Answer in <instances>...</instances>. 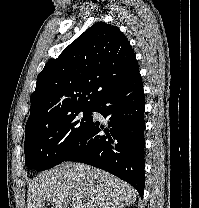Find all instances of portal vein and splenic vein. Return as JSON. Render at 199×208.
<instances>
[{
    "mask_svg": "<svg viewBox=\"0 0 199 208\" xmlns=\"http://www.w3.org/2000/svg\"><path fill=\"white\" fill-rule=\"evenodd\" d=\"M72 205L74 206V208H81V205H80V204H78V203H74V202H72Z\"/></svg>",
    "mask_w": 199,
    "mask_h": 208,
    "instance_id": "obj_1",
    "label": "portal vein and splenic vein"
}]
</instances>
